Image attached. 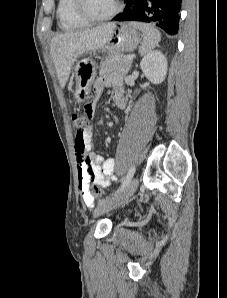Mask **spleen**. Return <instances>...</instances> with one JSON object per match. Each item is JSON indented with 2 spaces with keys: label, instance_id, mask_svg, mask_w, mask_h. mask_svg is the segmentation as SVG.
I'll list each match as a JSON object with an SVG mask.
<instances>
[{
  "label": "spleen",
  "instance_id": "3e777b00",
  "mask_svg": "<svg viewBox=\"0 0 227 298\" xmlns=\"http://www.w3.org/2000/svg\"><path fill=\"white\" fill-rule=\"evenodd\" d=\"M131 24L143 33V41L139 47V53L145 55L151 52L161 39L160 31L152 25L145 23L132 22Z\"/></svg>",
  "mask_w": 227,
  "mask_h": 298
}]
</instances>
